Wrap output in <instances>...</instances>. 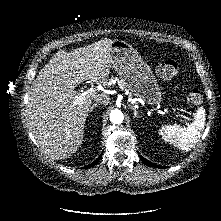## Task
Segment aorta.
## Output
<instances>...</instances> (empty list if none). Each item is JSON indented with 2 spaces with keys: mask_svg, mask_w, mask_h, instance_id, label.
I'll return each instance as SVG.
<instances>
[{
  "mask_svg": "<svg viewBox=\"0 0 221 221\" xmlns=\"http://www.w3.org/2000/svg\"><path fill=\"white\" fill-rule=\"evenodd\" d=\"M124 120L123 113L119 109H114L110 113V121L113 124H121Z\"/></svg>",
  "mask_w": 221,
  "mask_h": 221,
  "instance_id": "762f6f07",
  "label": "aorta"
}]
</instances>
